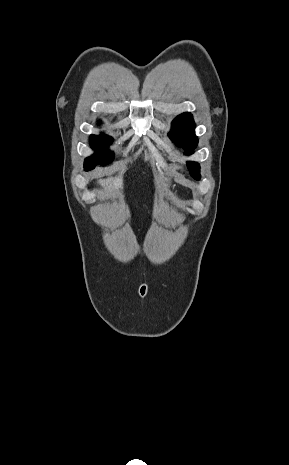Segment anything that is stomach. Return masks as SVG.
<instances>
[{"instance_id": "0dacf381", "label": "stomach", "mask_w": 289, "mask_h": 465, "mask_svg": "<svg viewBox=\"0 0 289 465\" xmlns=\"http://www.w3.org/2000/svg\"><path fill=\"white\" fill-rule=\"evenodd\" d=\"M170 185V181L165 183V187L168 188Z\"/></svg>"}]
</instances>
